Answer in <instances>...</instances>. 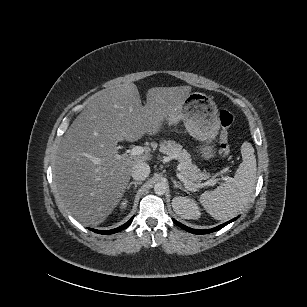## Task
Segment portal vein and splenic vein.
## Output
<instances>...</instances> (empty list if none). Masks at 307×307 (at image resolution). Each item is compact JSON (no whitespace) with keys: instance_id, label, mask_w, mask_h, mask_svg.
Listing matches in <instances>:
<instances>
[{"instance_id":"1","label":"portal vein and splenic vein","mask_w":307,"mask_h":307,"mask_svg":"<svg viewBox=\"0 0 307 307\" xmlns=\"http://www.w3.org/2000/svg\"><path fill=\"white\" fill-rule=\"evenodd\" d=\"M146 152V148L145 147H143V146H135L134 148H132V150H131V153L133 154V155H142V154H144ZM175 173H176V177L181 181V182H183L184 184H188V180L187 179H185L184 177H183V175H182V173L179 171V170H176L175 171ZM190 186H192L193 188H204L205 186H207L208 184L207 183H190L189 184ZM210 185H212V184H210Z\"/></svg>"}]
</instances>
